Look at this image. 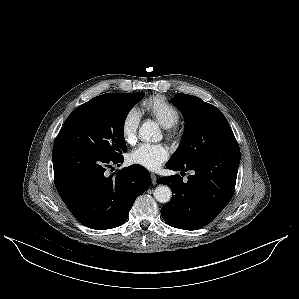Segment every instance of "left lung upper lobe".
<instances>
[{"mask_svg":"<svg viewBox=\"0 0 299 299\" xmlns=\"http://www.w3.org/2000/svg\"><path fill=\"white\" fill-rule=\"evenodd\" d=\"M171 102L182 112L186 123L180 145L169 163L186 164L237 143L228 121L215 106L188 94H176Z\"/></svg>","mask_w":299,"mask_h":299,"instance_id":"obj_1","label":"left lung upper lobe"}]
</instances>
